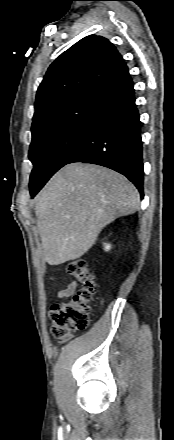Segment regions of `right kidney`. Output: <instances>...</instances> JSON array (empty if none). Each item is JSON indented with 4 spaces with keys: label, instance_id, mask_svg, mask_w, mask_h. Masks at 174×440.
Returning a JSON list of instances; mask_svg holds the SVG:
<instances>
[{
    "label": "right kidney",
    "instance_id": "ca27d5eb",
    "mask_svg": "<svg viewBox=\"0 0 174 440\" xmlns=\"http://www.w3.org/2000/svg\"><path fill=\"white\" fill-rule=\"evenodd\" d=\"M111 246L109 244H105V250H109Z\"/></svg>",
    "mask_w": 174,
    "mask_h": 440
}]
</instances>
